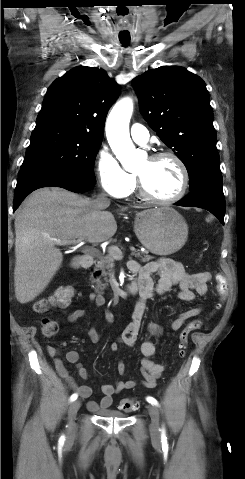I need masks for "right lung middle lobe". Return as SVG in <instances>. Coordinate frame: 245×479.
Returning a JSON list of instances; mask_svg holds the SVG:
<instances>
[{
  "label": "right lung middle lobe",
  "instance_id": "1",
  "mask_svg": "<svg viewBox=\"0 0 245 479\" xmlns=\"http://www.w3.org/2000/svg\"><path fill=\"white\" fill-rule=\"evenodd\" d=\"M102 139L57 127L35 128L19 177L39 171H59L96 183L94 162Z\"/></svg>",
  "mask_w": 245,
  "mask_h": 479
}]
</instances>
